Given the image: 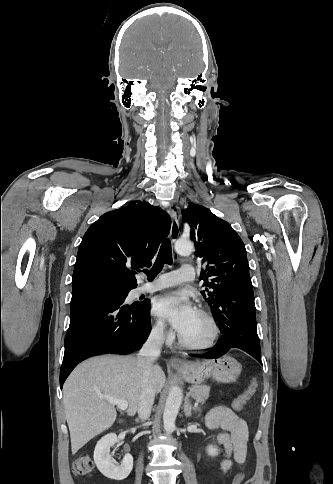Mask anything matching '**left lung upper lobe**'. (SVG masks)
<instances>
[{
    "label": "left lung upper lobe",
    "mask_w": 333,
    "mask_h": 484,
    "mask_svg": "<svg viewBox=\"0 0 333 484\" xmlns=\"http://www.w3.org/2000/svg\"><path fill=\"white\" fill-rule=\"evenodd\" d=\"M182 215L191 228L196 255L205 263L200 277L205 281L201 293L213 306L227 277L249 271L245 245L228 222L201 205L190 204Z\"/></svg>",
    "instance_id": "obj_1"
}]
</instances>
